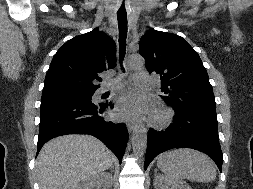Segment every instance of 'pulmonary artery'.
<instances>
[{"label": "pulmonary artery", "instance_id": "e3ab8cb5", "mask_svg": "<svg viewBox=\"0 0 253 189\" xmlns=\"http://www.w3.org/2000/svg\"><path fill=\"white\" fill-rule=\"evenodd\" d=\"M135 81L140 86H148L150 84L151 78L146 73H140L135 75ZM122 86L121 83L111 84L106 82L99 90L98 94H103L110 89H120Z\"/></svg>", "mask_w": 253, "mask_h": 189}]
</instances>
